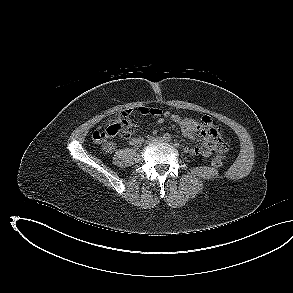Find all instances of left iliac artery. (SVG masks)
<instances>
[{"mask_svg":"<svg viewBox=\"0 0 293 293\" xmlns=\"http://www.w3.org/2000/svg\"><path fill=\"white\" fill-rule=\"evenodd\" d=\"M175 146H177V147H178V146H179V143L175 142Z\"/></svg>","mask_w":293,"mask_h":293,"instance_id":"left-iliac-artery-1","label":"left iliac artery"}]
</instances>
